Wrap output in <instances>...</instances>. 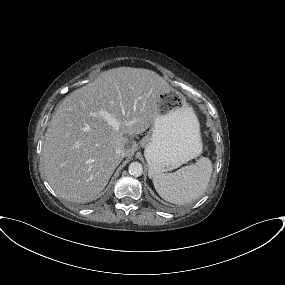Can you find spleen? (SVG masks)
I'll return each instance as SVG.
<instances>
[{
    "instance_id": "spleen-1",
    "label": "spleen",
    "mask_w": 285,
    "mask_h": 285,
    "mask_svg": "<svg viewBox=\"0 0 285 285\" xmlns=\"http://www.w3.org/2000/svg\"><path fill=\"white\" fill-rule=\"evenodd\" d=\"M212 170L210 159L202 157L195 164L184 166L173 173L155 175L153 184L164 200L183 205L203 195L210 181Z\"/></svg>"
}]
</instances>
